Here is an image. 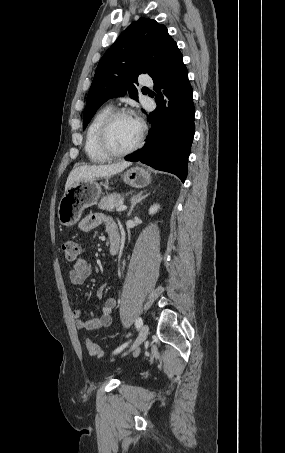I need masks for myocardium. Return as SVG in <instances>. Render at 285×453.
<instances>
[{
    "label": "myocardium",
    "mask_w": 285,
    "mask_h": 453,
    "mask_svg": "<svg viewBox=\"0 0 285 453\" xmlns=\"http://www.w3.org/2000/svg\"><path fill=\"white\" fill-rule=\"evenodd\" d=\"M122 116H129L133 117L132 113L126 109H117L112 111L111 113L108 114V116L104 119L103 123L101 124V127L99 129L98 133V144L100 149L102 150L103 153H105L108 157H122L126 156L128 154L133 153L137 149H139L144 141L145 138V133H146V127L142 122H139L140 124V134L137 139V141L129 148L125 150H116L110 140V132L113 123ZM134 118V117H133Z\"/></svg>",
    "instance_id": "1"
}]
</instances>
